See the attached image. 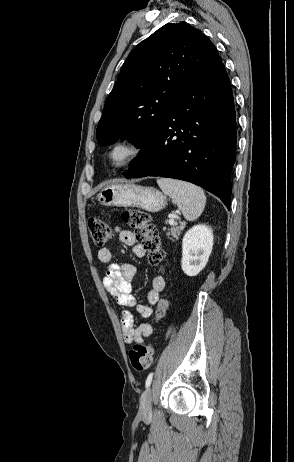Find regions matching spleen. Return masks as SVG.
Here are the masks:
<instances>
[{
  "label": "spleen",
  "instance_id": "3e777b00",
  "mask_svg": "<svg viewBox=\"0 0 294 462\" xmlns=\"http://www.w3.org/2000/svg\"><path fill=\"white\" fill-rule=\"evenodd\" d=\"M157 184L166 195L170 196L186 220H196L202 214L206 204V196L200 187L167 178L158 179Z\"/></svg>",
  "mask_w": 294,
  "mask_h": 462
}]
</instances>
